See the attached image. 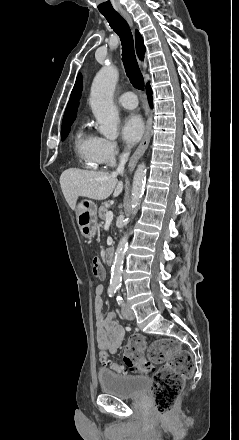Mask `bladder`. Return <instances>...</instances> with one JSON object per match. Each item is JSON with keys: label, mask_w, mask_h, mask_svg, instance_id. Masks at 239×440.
<instances>
[{"label": "bladder", "mask_w": 239, "mask_h": 440, "mask_svg": "<svg viewBox=\"0 0 239 440\" xmlns=\"http://www.w3.org/2000/svg\"><path fill=\"white\" fill-rule=\"evenodd\" d=\"M97 379L104 393L118 398H138L149 387V379L145 376L121 375L108 369H100Z\"/></svg>", "instance_id": "bladder-1"}]
</instances>
